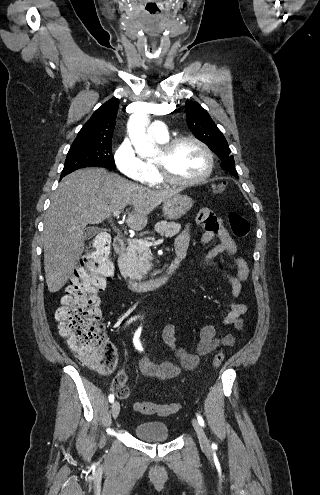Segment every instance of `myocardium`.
Returning <instances> with one entry per match:
<instances>
[{
    "label": "myocardium",
    "mask_w": 320,
    "mask_h": 495,
    "mask_svg": "<svg viewBox=\"0 0 320 495\" xmlns=\"http://www.w3.org/2000/svg\"><path fill=\"white\" fill-rule=\"evenodd\" d=\"M183 142H193L203 151L204 155L206 156L207 169L201 176L197 178H193V179L178 178L175 175H173L169 169L168 158L170 157L174 149ZM160 152H161V158L158 160L155 159L154 166L161 180L168 182L170 184L178 185V186L199 185L205 182L207 179H209V177L213 173L214 165H215L213 153L204 142H202L200 139H198L195 136L184 135L168 140L167 142L163 143Z\"/></svg>",
    "instance_id": "obj_1"
}]
</instances>
